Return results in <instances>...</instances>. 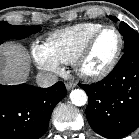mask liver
Here are the masks:
<instances>
[{
	"instance_id": "6515ba94",
	"label": "liver",
	"mask_w": 139,
	"mask_h": 139,
	"mask_svg": "<svg viewBox=\"0 0 139 139\" xmlns=\"http://www.w3.org/2000/svg\"><path fill=\"white\" fill-rule=\"evenodd\" d=\"M29 71V56L23 46L14 43H5L0 46V83L25 82Z\"/></svg>"
}]
</instances>
